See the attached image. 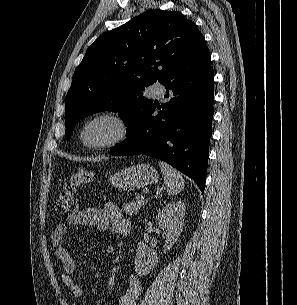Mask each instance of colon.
<instances>
[{
    "instance_id": "obj_1",
    "label": "colon",
    "mask_w": 297,
    "mask_h": 305,
    "mask_svg": "<svg viewBox=\"0 0 297 305\" xmlns=\"http://www.w3.org/2000/svg\"><path fill=\"white\" fill-rule=\"evenodd\" d=\"M94 179L93 173L80 170L70 176L69 181L60 191L56 203V213L58 215H67L79 209L80 202L77 195V190L80 185L88 184Z\"/></svg>"
}]
</instances>
